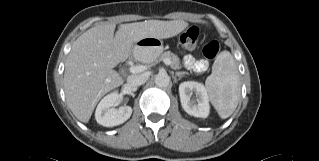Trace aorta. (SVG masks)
Listing matches in <instances>:
<instances>
[{
    "label": "aorta",
    "mask_w": 319,
    "mask_h": 161,
    "mask_svg": "<svg viewBox=\"0 0 319 161\" xmlns=\"http://www.w3.org/2000/svg\"><path fill=\"white\" fill-rule=\"evenodd\" d=\"M155 84L160 88H165L170 84V77L167 73H159L155 78Z\"/></svg>",
    "instance_id": "762f6f07"
}]
</instances>
